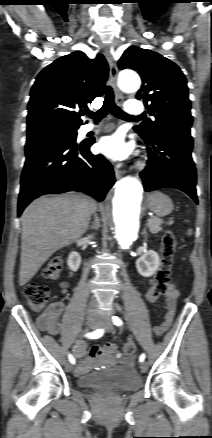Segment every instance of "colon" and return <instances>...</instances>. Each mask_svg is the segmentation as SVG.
I'll use <instances>...</instances> for the list:
<instances>
[{
	"label": "colon",
	"instance_id": "colon-1",
	"mask_svg": "<svg viewBox=\"0 0 212 438\" xmlns=\"http://www.w3.org/2000/svg\"><path fill=\"white\" fill-rule=\"evenodd\" d=\"M176 237L172 231H167L162 239V262L155 275L153 286L146 293V300L149 303L155 302L160 296L166 294L170 282L173 257L176 249ZM63 270V259L53 258L43 270V276L47 279H57ZM24 297L30 308L34 311H41L50 298V289L46 285L29 283L24 288ZM123 350L127 355L135 351V345L128 340L123 345Z\"/></svg>",
	"mask_w": 212,
	"mask_h": 438
}]
</instances>
